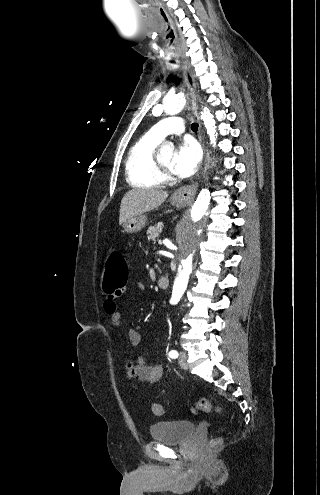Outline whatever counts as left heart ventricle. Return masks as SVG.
Listing matches in <instances>:
<instances>
[{
  "mask_svg": "<svg viewBox=\"0 0 320 495\" xmlns=\"http://www.w3.org/2000/svg\"><path fill=\"white\" fill-rule=\"evenodd\" d=\"M159 155H160V159H161L162 163L166 167L171 168L172 160L174 157V152L173 151H165V152H161Z\"/></svg>",
  "mask_w": 320,
  "mask_h": 495,
  "instance_id": "left-heart-ventricle-1",
  "label": "left heart ventricle"
}]
</instances>
